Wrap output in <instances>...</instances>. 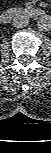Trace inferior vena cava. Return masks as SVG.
I'll return each instance as SVG.
<instances>
[{"label": "inferior vena cava", "mask_w": 51, "mask_h": 153, "mask_svg": "<svg viewBox=\"0 0 51 153\" xmlns=\"http://www.w3.org/2000/svg\"><path fill=\"white\" fill-rule=\"evenodd\" d=\"M29 24V19L25 15H18L13 18L12 25L16 28H23Z\"/></svg>", "instance_id": "602c4592"}]
</instances>
